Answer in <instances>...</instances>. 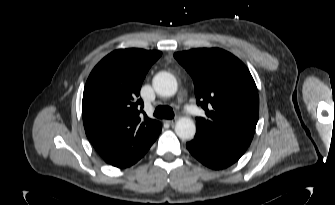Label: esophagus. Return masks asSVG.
Masks as SVG:
<instances>
[{"label":"esophagus","mask_w":335,"mask_h":205,"mask_svg":"<svg viewBox=\"0 0 335 205\" xmlns=\"http://www.w3.org/2000/svg\"><path fill=\"white\" fill-rule=\"evenodd\" d=\"M177 119H170V120H166L165 122H167L170 125H174L176 123Z\"/></svg>","instance_id":"obj_1"}]
</instances>
